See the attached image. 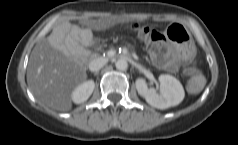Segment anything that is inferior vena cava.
Returning <instances> with one entry per match:
<instances>
[{
	"mask_svg": "<svg viewBox=\"0 0 238 145\" xmlns=\"http://www.w3.org/2000/svg\"><path fill=\"white\" fill-rule=\"evenodd\" d=\"M107 61L108 60L104 57L95 58L89 63V70L92 72H97L107 63Z\"/></svg>",
	"mask_w": 238,
	"mask_h": 145,
	"instance_id": "obj_1",
	"label": "inferior vena cava"
}]
</instances>
